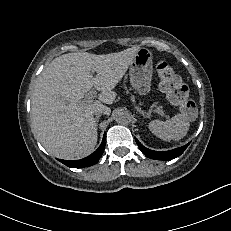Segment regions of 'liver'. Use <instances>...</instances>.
<instances>
[{
    "mask_svg": "<svg viewBox=\"0 0 231 231\" xmlns=\"http://www.w3.org/2000/svg\"><path fill=\"white\" fill-rule=\"evenodd\" d=\"M140 47L116 53H67L56 57L39 75L31 98L33 131L53 156L73 160L89 155L97 144L94 111L116 98L120 82ZM92 71L97 75L94 77ZM94 86L98 100L82 99ZM106 115L111 113L109 107Z\"/></svg>",
    "mask_w": 231,
    "mask_h": 231,
    "instance_id": "liver-1",
    "label": "liver"
}]
</instances>
